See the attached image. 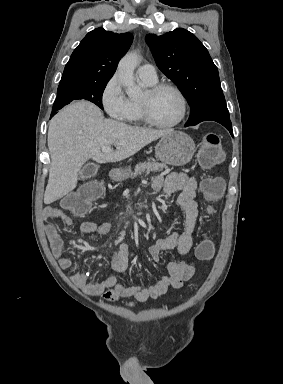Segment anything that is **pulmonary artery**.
Returning <instances> with one entry per match:
<instances>
[{
	"instance_id": "1",
	"label": "pulmonary artery",
	"mask_w": 283,
	"mask_h": 384,
	"mask_svg": "<svg viewBox=\"0 0 283 384\" xmlns=\"http://www.w3.org/2000/svg\"><path fill=\"white\" fill-rule=\"evenodd\" d=\"M137 76L146 83H155L158 76L155 68L151 64H142L137 69Z\"/></svg>"
}]
</instances>
